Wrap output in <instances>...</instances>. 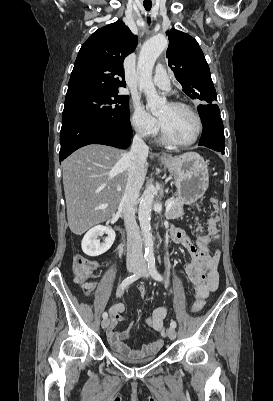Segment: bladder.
<instances>
[{
  "label": "bladder",
  "instance_id": "1",
  "mask_svg": "<svg viewBox=\"0 0 273 401\" xmlns=\"http://www.w3.org/2000/svg\"><path fill=\"white\" fill-rule=\"evenodd\" d=\"M112 356L115 359H117L118 361H120L121 363L133 364V365L150 363L153 360H155L156 357H157L156 355H152V356H149V357L141 359V360H130V359L118 354L117 352H114V351L112 352Z\"/></svg>",
  "mask_w": 273,
  "mask_h": 401
}]
</instances>
